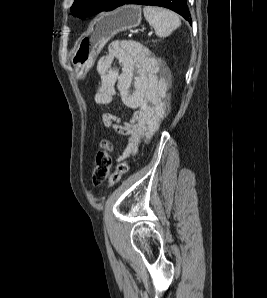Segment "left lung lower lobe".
<instances>
[{
  "mask_svg": "<svg viewBox=\"0 0 267 298\" xmlns=\"http://www.w3.org/2000/svg\"><path fill=\"white\" fill-rule=\"evenodd\" d=\"M124 4H142V5H153V6H162L169 8L186 20H189L190 13L186 4V0H118L116 7L122 6Z\"/></svg>",
  "mask_w": 267,
  "mask_h": 298,
  "instance_id": "obj_1",
  "label": "left lung lower lobe"
}]
</instances>
